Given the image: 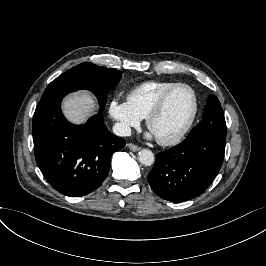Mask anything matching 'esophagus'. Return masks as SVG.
<instances>
[{
  "label": "esophagus",
  "instance_id": "1",
  "mask_svg": "<svg viewBox=\"0 0 266 266\" xmlns=\"http://www.w3.org/2000/svg\"><path fill=\"white\" fill-rule=\"evenodd\" d=\"M127 146H128V148H129L130 150H132V151H134V152L140 150V147H139V146H137V145H135V144H132V143H129Z\"/></svg>",
  "mask_w": 266,
  "mask_h": 266
}]
</instances>
